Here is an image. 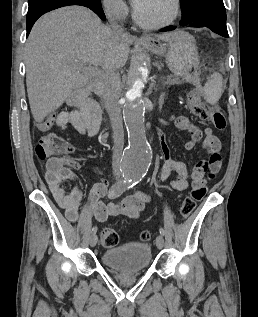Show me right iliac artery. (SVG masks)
Returning a JSON list of instances; mask_svg holds the SVG:
<instances>
[{"label":"right iliac artery","mask_w":258,"mask_h":317,"mask_svg":"<svg viewBox=\"0 0 258 317\" xmlns=\"http://www.w3.org/2000/svg\"><path fill=\"white\" fill-rule=\"evenodd\" d=\"M134 185L130 178H125L117 181L115 184H113L109 189L108 197L110 199H114L122 195L125 191L132 188ZM97 232V227L94 226L92 228V233L95 234Z\"/></svg>","instance_id":"right-iliac-artery-1"}]
</instances>
